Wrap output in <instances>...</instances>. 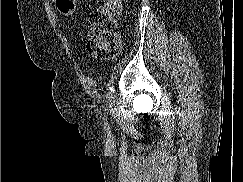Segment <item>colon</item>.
<instances>
[{
  "instance_id": "5ec220e1",
  "label": "colon",
  "mask_w": 243,
  "mask_h": 182,
  "mask_svg": "<svg viewBox=\"0 0 243 182\" xmlns=\"http://www.w3.org/2000/svg\"><path fill=\"white\" fill-rule=\"evenodd\" d=\"M59 12L71 16L77 0H56ZM121 11V0H104L103 5L93 10L89 17L88 51L99 58H109L117 55L120 39L116 33L117 17Z\"/></svg>"
}]
</instances>
